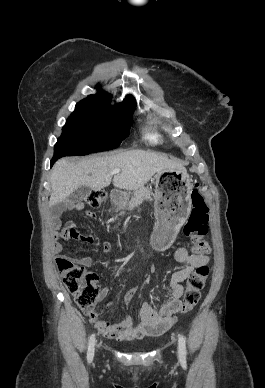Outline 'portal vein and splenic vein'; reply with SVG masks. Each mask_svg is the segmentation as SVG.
Returning <instances> with one entry per match:
<instances>
[{
  "mask_svg": "<svg viewBox=\"0 0 265 388\" xmlns=\"http://www.w3.org/2000/svg\"><path fill=\"white\" fill-rule=\"evenodd\" d=\"M121 172L120 168H116V170H113V172H110V176H113V174H119Z\"/></svg>",
  "mask_w": 265,
  "mask_h": 388,
  "instance_id": "1",
  "label": "portal vein and splenic vein"
}]
</instances>
